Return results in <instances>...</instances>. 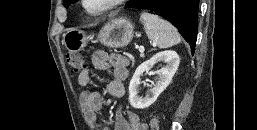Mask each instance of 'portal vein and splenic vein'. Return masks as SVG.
Masks as SVG:
<instances>
[{
  "mask_svg": "<svg viewBox=\"0 0 257 130\" xmlns=\"http://www.w3.org/2000/svg\"><path fill=\"white\" fill-rule=\"evenodd\" d=\"M139 51H140L141 53H143V52H144V48H143V47H139Z\"/></svg>",
  "mask_w": 257,
  "mask_h": 130,
  "instance_id": "1",
  "label": "portal vein and splenic vein"
}]
</instances>
